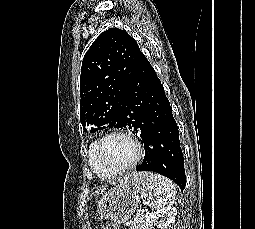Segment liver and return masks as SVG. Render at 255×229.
Wrapping results in <instances>:
<instances>
[{"label":"liver","instance_id":"obj_1","mask_svg":"<svg viewBox=\"0 0 255 229\" xmlns=\"http://www.w3.org/2000/svg\"><path fill=\"white\" fill-rule=\"evenodd\" d=\"M113 191H114V188H113L111 191H109L108 193H106V194L102 197V199L100 200V202H99V204H98V207L101 206L102 201L105 199V197L108 196V195H109L111 192H113Z\"/></svg>","mask_w":255,"mask_h":229}]
</instances>
